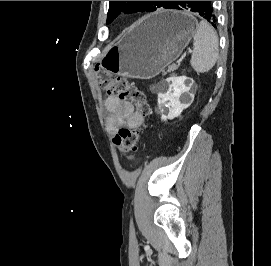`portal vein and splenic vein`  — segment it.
Listing matches in <instances>:
<instances>
[{"label": "portal vein and splenic vein", "instance_id": "1", "mask_svg": "<svg viewBox=\"0 0 271 266\" xmlns=\"http://www.w3.org/2000/svg\"><path fill=\"white\" fill-rule=\"evenodd\" d=\"M189 53H192V50H189ZM178 63H180V62L178 61Z\"/></svg>", "mask_w": 271, "mask_h": 266}]
</instances>
